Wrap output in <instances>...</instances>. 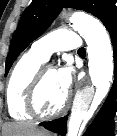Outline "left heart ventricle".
I'll use <instances>...</instances> for the list:
<instances>
[{
    "label": "left heart ventricle",
    "instance_id": "obj_1",
    "mask_svg": "<svg viewBox=\"0 0 117 136\" xmlns=\"http://www.w3.org/2000/svg\"><path fill=\"white\" fill-rule=\"evenodd\" d=\"M67 93L60 87L56 70L49 68L38 93V105L42 112L51 113L64 102Z\"/></svg>",
    "mask_w": 117,
    "mask_h": 136
}]
</instances>
